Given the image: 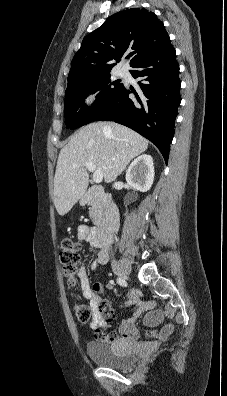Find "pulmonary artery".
<instances>
[{
    "label": "pulmonary artery",
    "mask_w": 227,
    "mask_h": 396,
    "mask_svg": "<svg viewBox=\"0 0 227 396\" xmlns=\"http://www.w3.org/2000/svg\"><path fill=\"white\" fill-rule=\"evenodd\" d=\"M124 74H125V72L122 70L119 72V75H121V76H123Z\"/></svg>",
    "instance_id": "1"
}]
</instances>
